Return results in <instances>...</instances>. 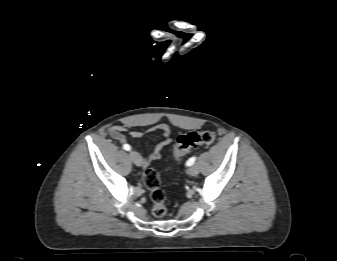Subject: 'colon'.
Here are the masks:
<instances>
[{
    "mask_svg": "<svg viewBox=\"0 0 337 261\" xmlns=\"http://www.w3.org/2000/svg\"><path fill=\"white\" fill-rule=\"evenodd\" d=\"M215 140L213 131L188 132L180 135L173 147L174 159L179 161L185 154L196 146L208 145ZM143 182L150 192L153 203L152 212L156 217H163L167 213L165 192L160 186V177L156 170L148 169L143 174Z\"/></svg>",
    "mask_w": 337,
    "mask_h": 261,
    "instance_id": "1",
    "label": "colon"
}]
</instances>
